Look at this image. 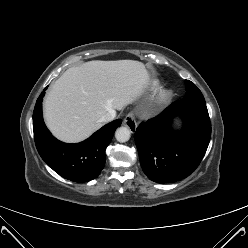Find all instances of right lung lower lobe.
Masks as SVG:
<instances>
[{
    "mask_svg": "<svg viewBox=\"0 0 248 248\" xmlns=\"http://www.w3.org/2000/svg\"><path fill=\"white\" fill-rule=\"evenodd\" d=\"M38 97L33 112V131L36 148L42 159L56 173L74 182H87L96 178L105 165V150L112 140L121 119L112 121L87 140L67 144L57 140L46 128L42 117V100Z\"/></svg>",
    "mask_w": 248,
    "mask_h": 248,
    "instance_id": "obj_1",
    "label": "right lung lower lobe"
}]
</instances>
